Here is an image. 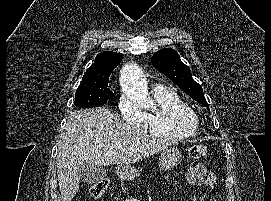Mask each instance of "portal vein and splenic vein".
<instances>
[{
	"instance_id": "obj_1",
	"label": "portal vein and splenic vein",
	"mask_w": 271,
	"mask_h": 201,
	"mask_svg": "<svg viewBox=\"0 0 271 201\" xmlns=\"http://www.w3.org/2000/svg\"><path fill=\"white\" fill-rule=\"evenodd\" d=\"M114 147H115V148H120V147H121V144L118 143V144L114 145Z\"/></svg>"
}]
</instances>
